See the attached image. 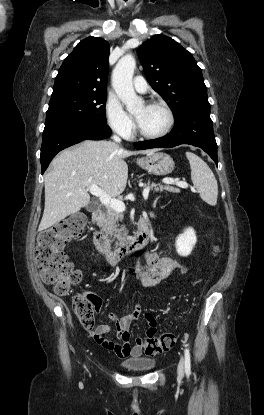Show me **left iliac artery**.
<instances>
[{
	"label": "left iliac artery",
	"instance_id": "left-iliac-artery-1",
	"mask_svg": "<svg viewBox=\"0 0 264 415\" xmlns=\"http://www.w3.org/2000/svg\"><path fill=\"white\" fill-rule=\"evenodd\" d=\"M185 353V372L189 376L191 373V361H190V352L187 348L184 350Z\"/></svg>",
	"mask_w": 264,
	"mask_h": 415
}]
</instances>
